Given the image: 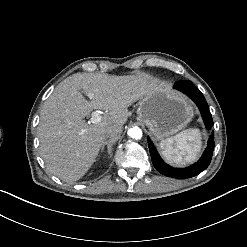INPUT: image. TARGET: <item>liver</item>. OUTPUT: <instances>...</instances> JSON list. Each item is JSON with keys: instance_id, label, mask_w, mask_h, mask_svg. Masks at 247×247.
Returning <instances> with one entry per match:
<instances>
[{"instance_id": "obj_1", "label": "liver", "mask_w": 247, "mask_h": 247, "mask_svg": "<svg viewBox=\"0 0 247 247\" xmlns=\"http://www.w3.org/2000/svg\"><path fill=\"white\" fill-rule=\"evenodd\" d=\"M158 84L157 78L144 72L127 76L76 73L64 79L44 102L37 128L47 171L65 182L79 180L95 162L107 137L105 128L124 125L128 107ZM93 109L108 112L97 124H88L83 118Z\"/></svg>"}]
</instances>
